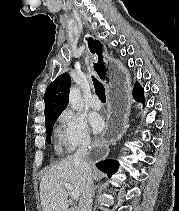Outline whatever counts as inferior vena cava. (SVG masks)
Here are the masks:
<instances>
[{"mask_svg": "<svg viewBox=\"0 0 179 211\" xmlns=\"http://www.w3.org/2000/svg\"><path fill=\"white\" fill-rule=\"evenodd\" d=\"M89 144L90 139L86 138L74 154V160L79 163L85 179V189L79 202V211H91L92 196L94 195L91 167L86 160Z\"/></svg>", "mask_w": 179, "mask_h": 211, "instance_id": "obj_1", "label": "inferior vena cava"}]
</instances>
